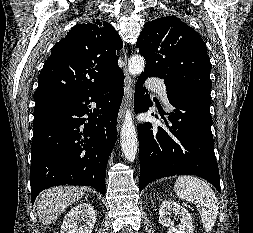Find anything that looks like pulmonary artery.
Returning a JSON list of instances; mask_svg holds the SVG:
<instances>
[{"mask_svg": "<svg viewBox=\"0 0 253 233\" xmlns=\"http://www.w3.org/2000/svg\"><path fill=\"white\" fill-rule=\"evenodd\" d=\"M147 86L149 89L155 91L160 96L163 103H168L167 87L162 81L152 79L147 82Z\"/></svg>", "mask_w": 253, "mask_h": 233, "instance_id": "pulmonary-artery-1", "label": "pulmonary artery"}]
</instances>
